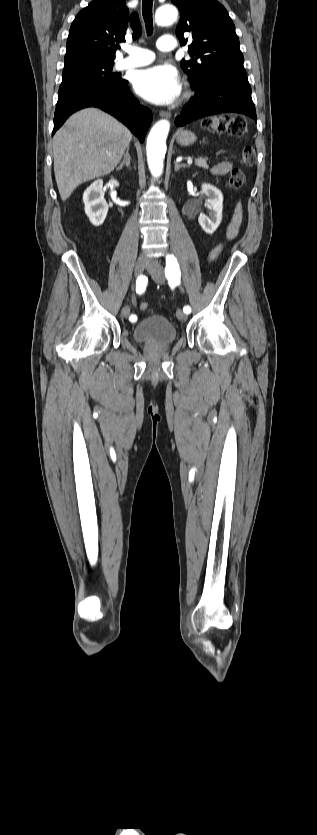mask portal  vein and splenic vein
<instances>
[{"label":"portal vein and splenic vein","instance_id":"1","mask_svg":"<svg viewBox=\"0 0 317 835\" xmlns=\"http://www.w3.org/2000/svg\"><path fill=\"white\" fill-rule=\"evenodd\" d=\"M191 162H192V160H191V159H190V160H188V163H191Z\"/></svg>","mask_w":317,"mask_h":835}]
</instances>
